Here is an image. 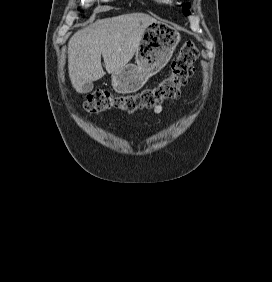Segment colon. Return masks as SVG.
I'll return each instance as SVG.
<instances>
[{"label": "colon", "mask_w": 272, "mask_h": 282, "mask_svg": "<svg viewBox=\"0 0 272 282\" xmlns=\"http://www.w3.org/2000/svg\"><path fill=\"white\" fill-rule=\"evenodd\" d=\"M198 52L190 41L184 43L171 63L169 74L160 83L133 95H113L108 89L93 92L83 103V109L91 114L118 109L126 113L149 110L167 100L176 99L180 88L193 74L192 64Z\"/></svg>", "instance_id": "colon-1"}]
</instances>
